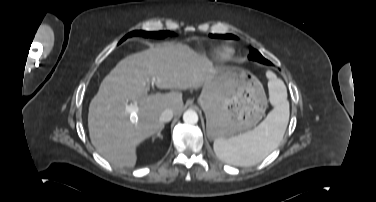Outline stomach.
I'll return each instance as SVG.
<instances>
[{
	"instance_id": "obj_1",
	"label": "stomach",
	"mask_w": 376,
	"mask_h": 202,
	"mask_svg": "<svg viewBox=\"0 0 376 202\" xmlns=\"http://www.w3.org/2000/svg\"><path fill=\"white\" fill-rule=\"evenodd\" d=\"M198 103L206 115L208 136L224 139L255 126L265 113L267 98L252 73L215 67L204 81Z\"/></svg>"
}]
</instances>
